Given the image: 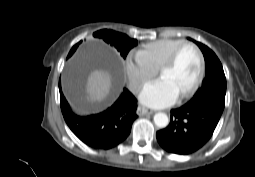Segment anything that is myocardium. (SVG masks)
<instances>
[{
    "label": "myocardium",
    "instance_id": "myocardium-1",
    "mask_svg": "<svg viewBox=\"0 0 255 177\" xmlns=\"http://www.w3.org/2000/svg\"><path fill=\"white\" fill-rule=\"evenodd\" d=\"M187 46L192 47L197 52L198 57H199V70H198V74H197V77H196L194 83L186 91H184L182 94H180L181 98H186V97L192 95L198 89V87L200 86V84L203 80V76H204V72H205V58H204V55H203V52L201 51V49L195 43H193L191 41H184L173 50V52L171 53L169 58L159 68L160 75H161V73L171 69L175 65L182 49Z\"/></svg>",
    "mask_w": 255,
    "mask_h": 177
}]
</instances>
